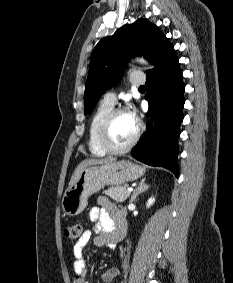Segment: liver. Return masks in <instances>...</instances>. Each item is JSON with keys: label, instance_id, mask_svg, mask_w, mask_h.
Instances as JSON below:
<instances>
[{"label": "liver", "instance_id": "6515ba94", "mask_svg": "<svg viewBox=\"0 0 233 283\" xmlns=\"http://www.w3.org/2000/svg\"><path fill=\"white\" fill-rule=\"evenodd\" d=\"M116 161V158L109 157V158H104V159H86L83 160L75 169L70 182H69V187H71L77 180L78 176L82 172V170L88 166L91 165H102L110 162Z\"/></svg>", "mask_w": 233, "mask_h": 283}]
</instances>
